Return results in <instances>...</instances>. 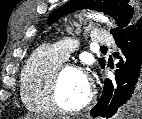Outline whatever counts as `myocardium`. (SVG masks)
Wrapping results in <instances>:
<instances>
[{"instance_id":"myocardium-1","label":"myocardium","mask_w":142,"mask_h":119,"mask_svg":"<svg viewBox=\"0 0 142 119\" xmlns=\"http://www.w3.org/2000/svg\"><path fill=\"white\" fill-rule=\"evenodd\" d=\"M70 69L77 70L80 72L82 71L81 68H79L78 66H76L74 64H71V63L61 64L59 66V68L56 70V72L54 73V75L50 81V85H49V89H48V98H49L51 108L53 109V111H55L59 114H63V115L79 114V113L87 110L92 105V103L95 99V90L91 87L90 93H89L87 99L78 107L68 109V108H65L64 106L61 105V103L59 101V88H60L61 80H62L64 73Z\"/></svg>"}]
</instances>
